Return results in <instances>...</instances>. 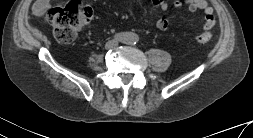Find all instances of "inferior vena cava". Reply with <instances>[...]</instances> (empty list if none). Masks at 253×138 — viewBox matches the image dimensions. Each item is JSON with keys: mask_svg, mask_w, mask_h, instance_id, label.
Returning <instances> with one entry per match:
<instances>
[{"mask_svg": "<svg viewBox=\"0 0 253 138\" xmlns=\"http://www.w3.org/2000/svg\"><path fill=\"white\" fill-rule=\"evenodd\" d=\"M118 45V42L117 41H108L105 45L106 48L110 49V48H114Z\"/></svg>", "mask_w": 253, "mask_h": 138, "instance_id": "1", "label": "inferior vena cava"}]
</instances>
